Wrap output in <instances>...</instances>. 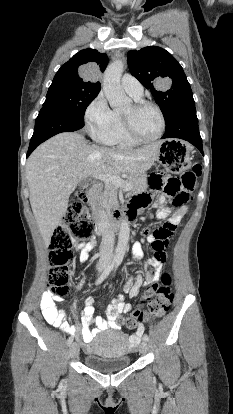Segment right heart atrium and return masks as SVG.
I'll list each match as a JSON object with an SVG mask.
<instances>
[{
    "label": "right heart atrium",
    "instance_id": "obj_1",
    "mask_svg": "<svg viewBox=\"0 0 233 414\" xmlns=\"http://www.w3.org/2000/svg\"><path fill=\"white\" fill-rule=\"evenodd\" d=\"M113 121V111L105 96L99 93L86 107L84 122L88 133L98 142L107 143Z\"/></svg>",
    "mask_w": 233,
    "mask_h": 414
}]
</instances>
